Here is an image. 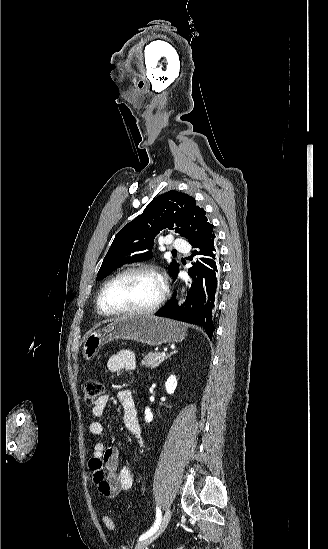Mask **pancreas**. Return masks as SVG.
I'll return each mask as SVG.
<instances>
[{
    "instance_id": "pancreas-1",
    "label": "pancreas",
    "mask_w": 328,
    "mask_h": 549,
    "mask_svg": "<svg viewBox=\"0 0 328 549\" xmlns=\"http://www.w3.org/2000/svg\"><path fill=\"white\" fill-rule=\"evenodd\" d=\"M164 359L165 357H160V353H148V355L144 357L143 361H141V365L155 369V367H158L160 363H163Z\"/></svg>"
}]
</instances>
